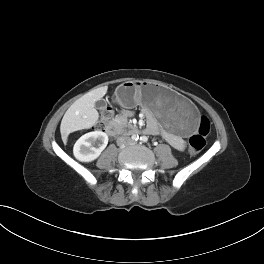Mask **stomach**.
<instances>
[{"label":"stomach","mask_w":264,"mask_h":264,"mask_svg":"<svg viewBox=\"0 0 264 264\" xmlns=\"http://www.w3.org/2000/svg\"><path fill=\"white\" fill-rule=\"evenodd\" d=\"M118 102L125 107L140 105L163 128L181 136H192L198 124L194 106L175 91L149 81H127L118 87Z\"/></svg>","instance_id":"obj_1"}]
</instances>
